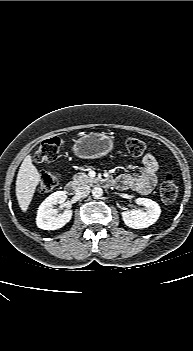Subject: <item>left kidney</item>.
I'll return each instance as SVG.
<instances>
[{
	"label": "left kidney",
	"instance_id": "5707ae66",
	"mask_svg": "<svg viewBox=\"0 0 193 351\" xmlns=\"http://www.w3.org/2000/svg\"><path fill=\"white\" fill-rule=\"evenodd\" d=\"M136 203L144 206L145 210H127L121 213L124 223L133 229L147 228L154 224L160 214V206L148 198H137Z\"/></svg>",
	"mask_w": 193,
	"mask_h": 351
}]
</instances>
